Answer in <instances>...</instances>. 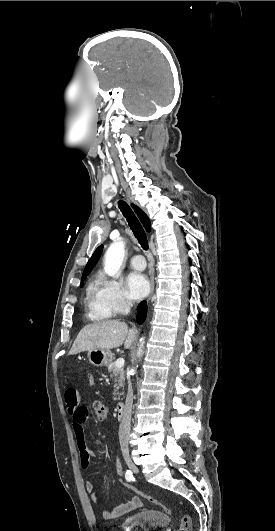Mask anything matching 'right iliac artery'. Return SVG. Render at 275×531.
Listing matches in <instances>:
<instances>
[{
    "instance_id": "obj_1",
    "label": "right iliac artery",
    "mask_w": 275,
    "mask_h": 531,
    "mask_svg": "<svg viewBox=\"0 0 275 531\" xmlns=\"http://www.w3.org/2000/svg\"><path fill=\"white\" fill-rule=\"evenodd\" d=\"M125 479H126L127 481H129V482L135 480L134 477H133V474H132V472H131L130 470H127V471H126V473H125Z\"/></svg>"
}]
</instances>
